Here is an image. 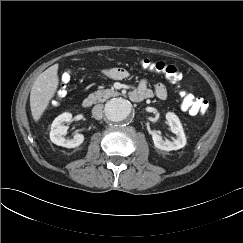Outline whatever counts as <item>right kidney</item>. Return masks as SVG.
I'll use <instances>...</instances> for the list:
<instances>
[{"instance_id":"right-kidney-1","label":"right kidney","mask_w":243,"mask_h":243,"mask_svg":"<svg viewBox=\"0 0 243 243\" xmlns=\"http://www.w3.org/2000/svg\"><path fill=\"white\" fill-rule=\"evenodd\" d=\"M72 114L65 112L55 118L51 125L50 139L51 141L58 145L66 148H75L81 145L84 141V136L82 134H75L72 139H65L64 135L67 133L68 127L64 126V122H71Z\"/></svg>"}]
</instances>
